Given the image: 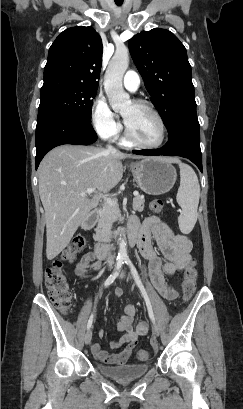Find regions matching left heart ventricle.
<instances>
[{
    "label": "left heart ventricle",
    "mask_w": 243,
    "mask_h": 409,
    "mask_svg": "<svg viewBox=\"0 0 243 409\" xmlns=\"http://www.w3.org/2000/svg\"><path fill=\"white\" fill-rule=\"evenodd\" d=\"M121 114L136 138L147 143L159 140V124L146 108L129 102L121 109Z\"/></svg>",
    "instance_id": "left-heart-ventricle-1"
}]
</instances>
